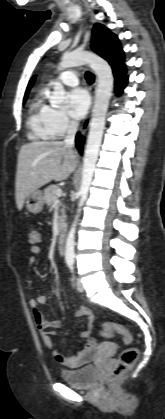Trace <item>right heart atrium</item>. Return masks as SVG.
<instances>
[{
  "label": "right heart atrium",
  "instance_id": "obj_1",
  "mask_svg": "<svg viewBox=\"0 0 165 419\" xmlns=\"http://www.w3.org/2000/svg\"><path fill=\"white\" fill-rule=\"evenodd\" d=\"M51 124L56 136H62L76 126L75 121L65 111L58 109H52L51 111Z\"/></svg>",
  "mask_w": 165,
  "mask_h": 419
}]
</instances>
